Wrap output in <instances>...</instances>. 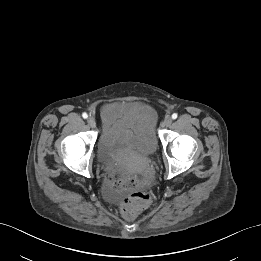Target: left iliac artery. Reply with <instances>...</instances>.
Segmentation results:
<instances>
[{
  "label": "left iliac artery",
  "mask_w": 261,
  "mask_h": 261,
  "mask_svg": "<svg viewBox=\"0 0 261 261\" xmlns=\"http://www.w3.org/2000/svg\"><path fill=\"white\" fill-rule=\"evenodd\" d=\"M178 117V115L176 113L172 114V119H176Z\"/></svg>",
  "instance_id": "obj_1"
}]
</instances>
